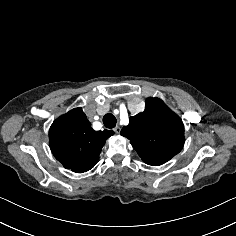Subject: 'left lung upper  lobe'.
Listing matches in <instances>:
<instances>
[{
  "label": "left lung upper lobe",
  "instance_id": "1",
  "mask_svg": "<svg viewBox=\"0 0 236 236\" xmlns=\"http://www.w3.org/2000/svg\"><path fill=\"white\" fill-rule=\"evenodd\" d=\"M144 112L130 117L121 135L130 140L141 159L149 165H162L178 154L184 145L181 118L159 98H148Z\"/></svg>",
  "mask_w": 236,
  "mask_h": 236
}]
</instances>
